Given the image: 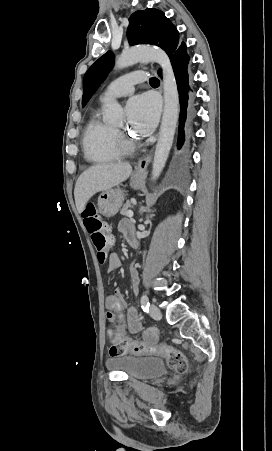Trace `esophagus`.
Instances as JSON below:
<instances>
[{
	"instance_id": "esophagus-1",
	"label": "esophagus",
	"mask_w": 272,
	"mask_h": 451,
	"mask_svg": "<svg viewBox=\"0 0 272 451\" xmlns=\"http://www.w3.org/2000/svg\"><path fill=\"white\" fill-rule=\"evenodd\" d=\"M151 160H152L151 155H147L144 158H141V160H139L137 166L135 167V171L140 176H145L147 174V168Z\"/></svg>"
}]
</instances>
